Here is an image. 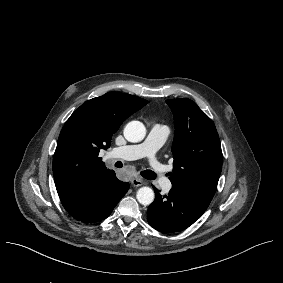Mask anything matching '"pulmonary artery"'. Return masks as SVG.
<instances>
[{"label":"pulmonary artery","mask_w":283,"mask_h":283,"mask_svg":"<svg viewBox=\"0 0 283 283\" xmlns=\"http://www.w3.org/2000/svg\"><path fill=\"white\" fill-rule=\"evenodd\" d=\"M168 135L169 129L166 126L153 125L142 143L123 146L115 150H117V155L120 158L139 160L141 157H149L154 162V154L166 141ZM162 169L168 171L167 167H162ZM157 185L159 189L166 191L171 188L172 182L170 178L163 176L159 178Z\"/></svg>","instance_id":"obj_1"}]
</instances>
